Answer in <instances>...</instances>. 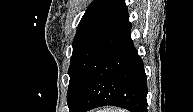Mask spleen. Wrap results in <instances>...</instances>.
Returning <instances> with one entry per match:
<instances>
[{
  "label": "spleen",
  "instance_id": "3e777b00",
  "mask_svg": "<svg viewBox=\"0 0 193 112\" xmlns=\"http://www.w3.org/2000/svg\"><path fill=\"white\" fill-rule=\"evenodd\" d=\"M101 112H106L105 110L101 111ZM119 112H123V110H119Z\"/></svg>",
  "mask_w": 193,
  "mask_h": 112
}]
</instances>
